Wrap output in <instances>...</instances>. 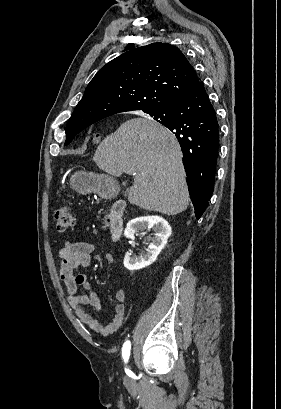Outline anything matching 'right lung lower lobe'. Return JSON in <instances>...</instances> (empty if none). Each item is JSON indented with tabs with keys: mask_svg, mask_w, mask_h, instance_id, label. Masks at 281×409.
<instances>
[{
	"mask_svg": "<svg viewBox=\"0 0 281 409\" xmlns=\"http://www.w3.org/2000/svg\"><path fill=\"white\" fill-rule=\"evenodd\" d=\"M178 139L197 219L210 199L219 150V125L202 82L187 96L148 112Z\"/></svg>",
	"mask_w": 281,
	"mask_h": 409,
	"instance_id": "98d812e1",
	"label": "right lung lower lobe"
}]
</instances>
